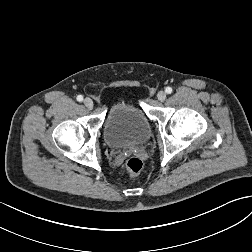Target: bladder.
Masks as SVG:
<instances>
[{"label": "bladder", "mask_w": 252, "mask_h": 252, "mask_svg": "<svg viewBox=\"0 0 252 252\" xmlns=\"http://www.w3.org/2000/svg\"><path fill=\"white\" fill-rule=\"evenodd\" d=\"M150 136V122L136 105L122 100L110 105L104 124V139L110 148L140 145Z\"/></svg>", "instance_id": "obj_1"}]
</instances>
